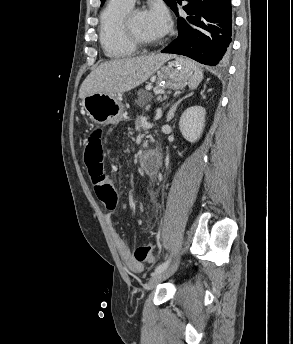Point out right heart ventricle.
Returning <instances> with one entry per match:
<instances>
[{
    "label": "right heart ventricle",
    "instance_id": "1",
    "mask_svg": "<svg viewBox=\"0 0 293 344\" xmlns=\"http://www.w3.org/2000/svg\"><path fill=\"white\" fill-rule=\"evenodd\" d=\"M133 7L123 1L109 0L99 17V40L109 58H127L137 54L138 48L126 40L121 22L126 12Z\"/></svg>",
    "mask_w": 293,
    "mask_h": 344
}]
</instances>
